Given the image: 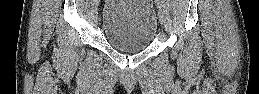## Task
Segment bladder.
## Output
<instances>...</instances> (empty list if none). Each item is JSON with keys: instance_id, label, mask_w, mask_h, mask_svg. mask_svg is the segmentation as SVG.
I'll return each mask as SVG.
<instances>
[{"instance_id": "31cf9c89", "label": "bladder", "mask_w": 259, "mask_h": 94, "mask_svg": "<svg viewBox=\"0 0 259 94\" xmlns=\"http://www.w3.org/2000/svg\"><path fill=\"white\" fill-rule=\"evenodd\" d=\"M157 28V16L151 1H106L101 31L113 48L124 52L143 51L154 41Z\"/></svg>"}]
</instances>
